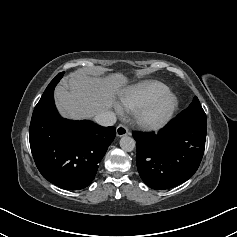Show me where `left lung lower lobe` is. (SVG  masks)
<instances>
[{
    "instance_id": "left-lung-lower-lobe-1",
    "label": "left lung lower lobe",
    "mask_w": 237,
    "mask_h": 237,
    "mask_svg": "<svg viewBox=\"0 0 237 237\" xmlns=\"http://www.w3.org/2000/svg\"><path fill=\"white\" fill-rule=\"evenodd\" d=\"M206 130L207 124L175 118L157 134L133 133L137 169L144 183L163 190L187 181L202 160Z\"/></svg>"
}]
</instances>
